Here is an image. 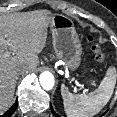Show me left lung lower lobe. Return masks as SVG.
<instances>
[{"label":"left lung lower lobe","mask_w":117,"mask_h":117,"mask_svg":"<svg viewBox=\"0 0 117 117\" xmlns=\"http://www.w3.org/2000/svg\"><path fill=\"white\" fill-rule=\"evenodd\" d=\"M51 108H52V106H51ZM51 111L56 117H60L55 111H53V109H51Z\"/></svg>","instance_id":"left-lung-lower-lobe-1"}]
</instances>
